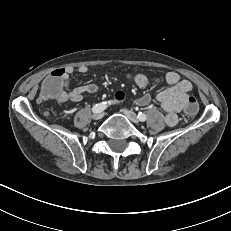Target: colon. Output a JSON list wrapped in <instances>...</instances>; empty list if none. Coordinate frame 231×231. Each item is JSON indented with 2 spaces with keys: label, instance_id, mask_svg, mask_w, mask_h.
I'll return each mask as SVG.
<instances>
[{
  "label": "colon",
  "instance_id": "obj_1",
  "mask_svg": "<svg viewBox=\"0 0 231 231\" xmlns=\"http://www.w3.org/2000/svg\"><path fill=\"white\" fill-rule=\"evenodd\" d=\"M64 77V72L61 69H56L48 75V77L42 81L41 90L38 95V100L41 103H46L48 100L57 99L60 97L59 83ZM124 97L122 92L116 93V98L122 100ZM198 100L196 96H187L182 105L183 114L186 117H193L198 112Z\"/></svg>",
  "mask_w": 231,
  "mask_h": 231
}]
</instances>
